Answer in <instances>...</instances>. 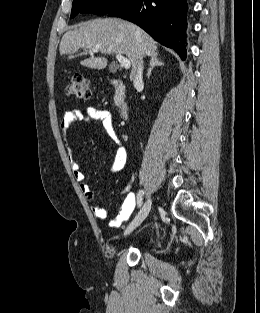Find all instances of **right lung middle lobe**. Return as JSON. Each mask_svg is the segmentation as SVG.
Instances as JSON below:
<instances>
[{"mask_svg":"<svg viewBox=\"0 0 260 313\" xmlns=\"http://www.w3.org/2000/svg\"><path fill=\"white\" fill-rule=\"evenodd\" d=\"M126 0H73L71 18L79 13L103 15L119 7Z\"/></svg>","mask_w":260,"mask_h":313,"instance_id":"obj_1","label":"right lung middle lobe"}]
</instances>
